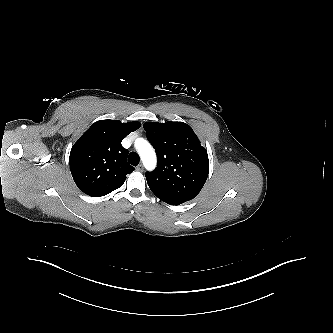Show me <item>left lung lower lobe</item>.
I'll use <instances>...</instances> for the list:
<instances>
[{
	"mask_svg": "<svg viewBox=\"0 0 333 333\" xmlns=\"http://www.w3.org/2000/svg\"><path fill=\"white\" fill-rule=\"evenodd\" d=\"M166 203L170 204V205H180L184 202H178V201H166Z\"/></svg>",
	"mask_w": 333,
	"mask_h": 333,
	"instance_id": "left-lung-lower-lobe-1",
	"label": "left lung lower lobe"
}]
</instances>
